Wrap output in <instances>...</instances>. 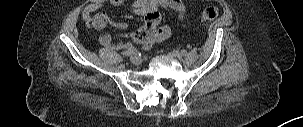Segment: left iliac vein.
<instances>
[{
	"instance_id": "1",
	"label": "left iliac vein",
	"mask_w": 303,
	"mask_h": 127,
	"mask_svg": "<svg viewBox=\"0 0 303 127\" xmlns=\"http://www.w3.org/2000/svg\"><path fill=\"white\" fill-rule=\"evenodd\" d=\"M170 55L178 60L182 58V55L178 51H173Z\"/></svg>"
}]
</instances>
